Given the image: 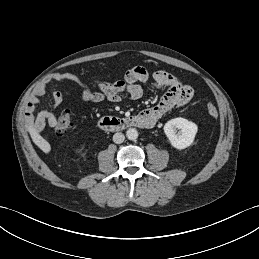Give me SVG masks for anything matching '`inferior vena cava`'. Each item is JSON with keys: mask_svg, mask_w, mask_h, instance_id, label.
Returning <instances> with one entry per match:
<instances>
[{"mask_svg": "<svg viewBox=\"0 0 259 259\" xmlns=\"http://www.w3.org/2000/svg\"><path fill=\"white\" fill-rule=\"evenodd\" d=\"M124 139H125V136L122 133H115L113 135V141L116 144H121L124 141Z\"/></svg>", "mask_w": 259, "mask_h": 259, "instance_id": "inferior-vena-cava-1", "label": "inferior vena cava"}]
</instances>
